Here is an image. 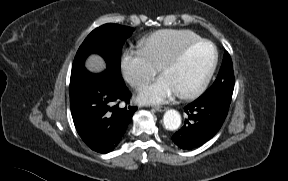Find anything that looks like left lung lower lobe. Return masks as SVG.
<instances>
[{"label": "left lung lower lobe", "mask_w": 288, "mask_h": 181, "mask_svg": "<svg viewBox=\"0 0 288 181\" xmlns=\"http://www.w3.org/2000/svg\"><path fill=\"white\" fill-rule=\"evenodd\" d=\"M228 109L218 100H195L185 107L190 121L172 136L173 142L182 149L201 146L219 131Z\"/></svg>", "instance_id": "0a47b994"}]
</instances>
